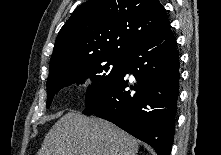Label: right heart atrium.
Instances as JSON below:
<instances>
[{"label":"right heart atrium","instance_id":"right-heart-atrium-1","mask_svg":"<svg viewBox=\"0 0 221 155\" xmlns=\"http://www.w3.org/2000/svg\"><path fill=\"white\" fill-rule=\"evenodd\" d=\"M82 85L84 86V87H89V86H91V80H90V78H84L83 80H82Z\"/></svg>","mask_w":221,"mask_h":155}]
</instances>
